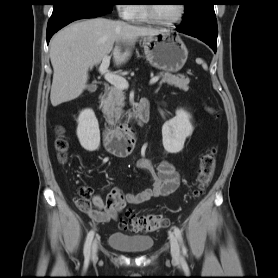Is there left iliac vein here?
I'll return each mask as SVG.
<instances>
[{
	"mask_svg": "<svg viewBox=\"0 0 278 278\" xmlns=\"http://www.w3.org/2000/svg\"><path fill=\"white\" fill-rule=\"evenodd\" d=\"M169 240L171 246V256L174 263H180V247L177 241L176 236L171 231L169 232Z\"/></svg>",
	"mask_w": 278,
	"mask_h": 278,
	"instance_id": "obj_1",
	"label": "left iliac vein"
}]
</instances>
